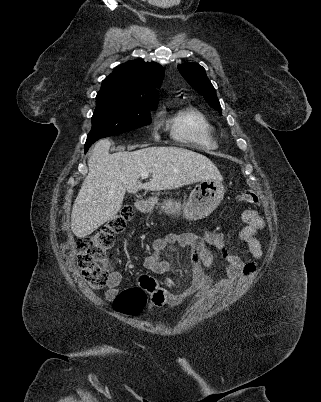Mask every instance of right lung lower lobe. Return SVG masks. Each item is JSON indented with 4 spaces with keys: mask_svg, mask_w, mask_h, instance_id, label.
I'll list each match as a JSON object with an SVG mask.
<instances>
[{
    "mask_svg": "<svg viewBox=\"0 0 321 402\" xmlns=\"http://www.w3.org/2000/svg\"><path fill=\"white\" fill-rule=\"evenodd\" d=\"M92 143L90 142H86L85 143V152H87V150L89 149V147L91 146Z\"/></svg>",
    "mask_w": 321,
    "mask_h": 402,
    "instance_id": "right-lung-lower-lobe-1",
    "label": "right lung lower lobe"
}]
</instances>
